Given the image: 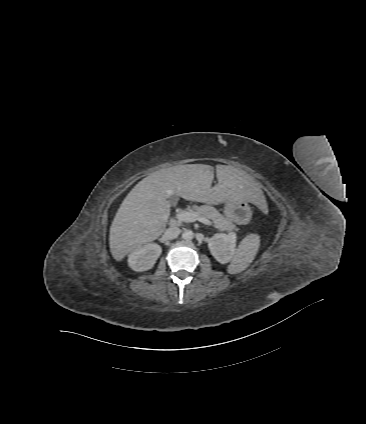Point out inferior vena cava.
Here are the masks:
<instances>
[{
    "label": "inferior vena cava",
    "instance_id": "inferior-vena-cava-1",
    "mask_svg": "<svg viewBox=\"0 0 366 424\" xmlns=\"http://www.w3.org/2000/svg\"><path fill=\"white\" fill-rule=\"evenodd\" d=\"M180 233H181V229L180 228H178V227H169L166 230V232L164 234V237L167 240H172V239L177 238Z\"/></svg>",
    "mask_w": 366,
    "mask_h": 424
}]
</instances>
